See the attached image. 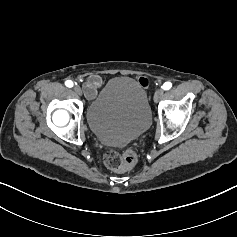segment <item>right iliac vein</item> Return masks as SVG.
<instances>
[{
    "instance_id": "obj_1",
    "label": "right iliac vein",
    "mask_w": 237,
    "mask_h": 237,
    "mask_svg": "<svg viewBox=\"0 0 237 237\" xmlns=\"http://www.w3.org/2000/svg\"><path fill=\"white\" fill-rule=\"evenodd\" d=\"M73 90L75 91L76 94L82 95V90L79 86H74Z\"/></svg>"
}]
</instances>
